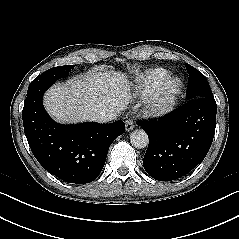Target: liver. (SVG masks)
I'll list each match as a JSON object with an SVG mask.
<instances>
[{
    "label": "liver",
    "instance_id": "1",
    "mask_svg": "<svg viewBox=\"0 0 239 239\" xmlns=\"http://www.w3.org/2000/svg\"><path fill=\"white\" fill-rule=\"evenodd\" d=\"M127 76L96 71L51 87L44 97L47 112L57 122L93 121L100 111L118 114L132 99Z\"/></svg>",
    "mask_w": 239,
    "mask_h": 239
}]
</instances>
